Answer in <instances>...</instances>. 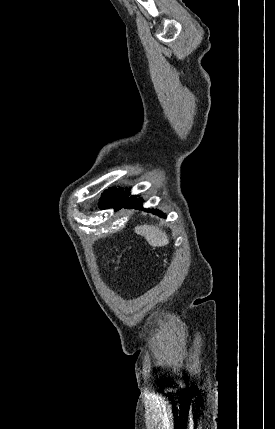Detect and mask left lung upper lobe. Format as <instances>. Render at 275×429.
Here are the masks:
<instances>
[{"label": "left lung upper lobe", "instance_id": "5c2ea615", "mask_svg": "<svg viewBox=\"0 0 275 429\" xmlns=\"http://www.w3.org/2000/svg\"><path fill=\"white\" fill-rule=\"evenodd\" d=\"M128 191H124L123 188H109L105 190V193L102 194L101 202L99 203V207L101 209L114 208L118 210L120 205L125 200Z\"/></svg>", "mask_w": 275, "mask_h": 429}]
</instances>
